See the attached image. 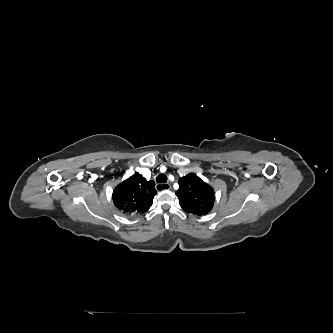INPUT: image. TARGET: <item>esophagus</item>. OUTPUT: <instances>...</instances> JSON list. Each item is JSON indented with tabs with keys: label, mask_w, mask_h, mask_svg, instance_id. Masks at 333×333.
Instances as JSON below:
<instances>
[{
	"label": "esophagus",
	"mask_w": 333,
	"mask_h": 333,
	"mask_svg": "<svg viewBox=\"0 0 333 333\" xmlns=\"http://www.w3.org/2000/svg\"><path fill=\"white\" fill-rule=\"evenodd\" d=\"M171 189V185L169 183H159L156 184L157 191L169 190Z\"/></svg>",
	"instance_id": "1"
}]
</instances>
